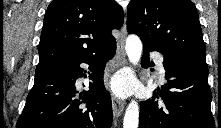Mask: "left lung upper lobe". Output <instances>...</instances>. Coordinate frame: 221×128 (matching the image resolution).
Masks as SVG:
<instances>
[{
    "mask_svg": "<svg viewBox=\"0 0 221 128\" xmlns=\"http://www.w3.org/2000/svg\"><path fill=\"white\" fill-rule=\"evenodd\" d=\"M127 30L143 46L207 67L198 13L190 0H131Z\"/></svg>",
    "mask_w": 221,
    "mask_h": 128,
    "instance_id": "5c2ea615",
    "label": "left lung upper lobe"
}]
</instances>
